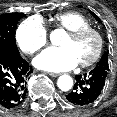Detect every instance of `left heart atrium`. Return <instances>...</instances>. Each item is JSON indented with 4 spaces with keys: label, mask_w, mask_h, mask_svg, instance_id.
<instances>
[{
    "label": "left heart atrium",
    "mask_w": 117,
    "mask_h": 117,
    "mask_svg": "<svg viewBox=\"0 0 117 117\" xmlns=\"http://www.w3.org/2000/svg\"><path fill=\"white\" fill-rule=\"evenodd\" d=\"M33 63L39 69L57 72L73 69L78 59L69 47H50L39 54Z\"/></svg>",
    "instance_id": "left-heart-atrium-1"
}]
</instances>
